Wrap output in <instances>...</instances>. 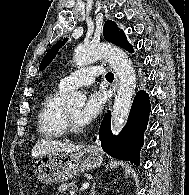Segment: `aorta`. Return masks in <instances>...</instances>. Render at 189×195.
Instances as JSON below:
<instances>
[{
	"label": "aorta",
	"mask_w": 189,
	"mask_h": 195,
	"mask_svg": "<svg viewBox=\"0 0 189 195\" xmlns=\"http://www.w3.org/2000/svg\"><path fill=\"white\" fill-rule=\"evenodd\" d=\"M101 58L108 59L119 80L111 118V130L117 135L126 124L135 95V70L128 55L122 49L109 44L79 45L73 57L78 67L87 66ZM85 101L86 96L81 92H74L67 99L68 105L74 106H82Z\"/></svg>",
	"instance_id": "762f6f07"
}]
</instances>
